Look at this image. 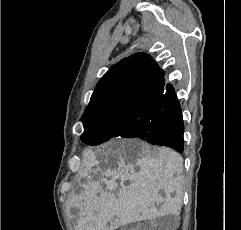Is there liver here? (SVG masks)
I'll return each mask as SVG.
<instances>
[{
	"instance_id": "1",
	"label": "liver",
	"mask_w": 241,
	"mask_h": 230,
	"mask_svg": "<svg viewBox=\"0 0 241 230\" xmlns=\"http://www.w3.org/2000/svg\"><path fill=\"white\" fill-rule=\"evenodd\" d=\"M133 144L146 148L135 162L126 160L134 151V146L126 149V144L104 149L101 159L92 152L85 153L82 177L87 184L82 185L84 190L80 195L72 194L69 199V207L79 210L76 230H110L108 223L113 224L115 217L118 225H125L166 214L179 215L183 180L181 156L166 147L151 149L140 142ZM94 175L102 181L120 180L119 189L112 193L104 191L100 182L93 179ZM125 181L129 184L125 185ZM160 190L166 193L165 198ZM173 192L176 195L171 197ZM155 204L160 205V209L154 208Z\"/></svg>"
}]
</instances>
